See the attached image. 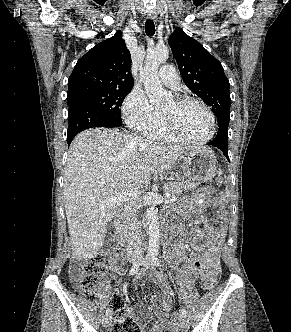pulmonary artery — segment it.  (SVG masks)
<instances>
[{
  "label": "pulmonary artery",
  "mask_w": 291,
  "mask_h": 332,
  "mask_svg": "<svg viewBox=\"0 0 291 332\" xmlns=\"http://www.w3.org/2000/svg\"><path fill=\"white\" fill-rule=\"evenodd\" d=\"M159 79L167 87L178 90L180 78L176 69L172 65H164L160 68L158 73Z\"/></svg>",
  "instance_id": "obj_1"
}]
</instances>
